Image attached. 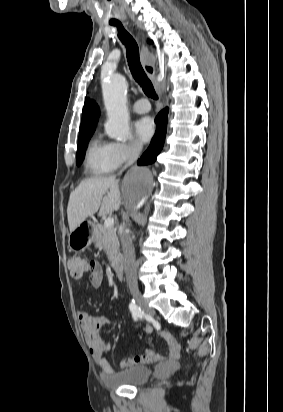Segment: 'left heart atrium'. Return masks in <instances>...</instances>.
I'll use <instances>...</instances> for the list:
<instances>
[{"label":"left heart atrium","mask_w":283,"mask_h":412,"mask_svg":"<svg viewBox=\"0 0 283 412\" xmlns=\"http://www.w3.org/2000/svg\"><path fill=\"white\" fill-rule=\"evenodd\" d=\"M135 128L137 137L142 142H148L155 133V123L149 117L140 119Z\"/></svg>","instance_id":"39dd6f15"}]
</instances>
